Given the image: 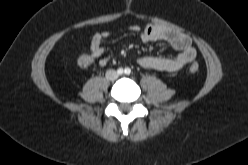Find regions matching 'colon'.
Segmentation results:
<instances>
[{
	"label": "colon",
	"instance_id": "1",
	"mask_svg": "<svg viewBox=\"0 0 248 165\" xmlns=\"http://www.w3.org/2000/svg\"><path fill=\"white\" fill-rule=\"evenodd\" d=\"M78 65L82 68H85V67H88L92 64L93 62V59L90 55H87V54H82L78 57ZM199 70V65L197 63H193L190 65L189 67V71L191 73H197Z\"/></svg>",
	"mask_w": 248,
	"mask_h": 165
}]
</instances>
